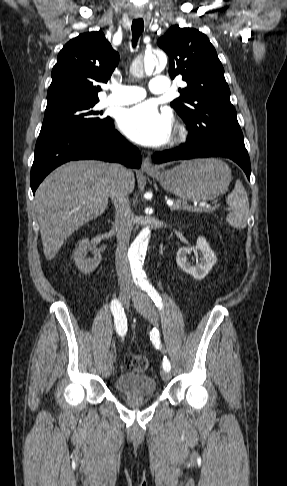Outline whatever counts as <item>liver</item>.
Returning a JSON list of instances; mask_svg holds the SVG:
<instances>
[{
  "label": "liver",
  "mask_w": 287,
  "mask_h": 486,
  "mask_svg": "<svg viewBox=\"0 0 287 486\" xmlns=\"http://www.w3.org/2000/svg\"><path fill=\"white\" fill-rule=\"evenodd\" d=\"M112 164L95 160L68 162L49 174L35 194L37 219L47 260H52L68 237L102 215L108 205ZM127 192L135 186L128 170Z\"/></svg>",
  "instance_id": "liver-1"
}]
</instances>
